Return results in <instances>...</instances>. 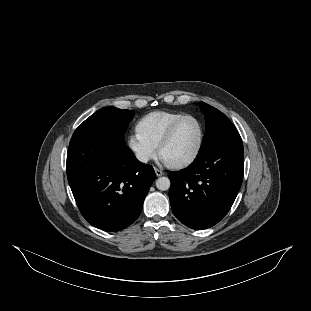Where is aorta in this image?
<instances>
[{"label": "aorta", "instance_id": "1", "mask_svg": "<svg viewBox=\"0 0 311 311\" xmlns=\"http://www.w3.org/2000/svg\"><path fill=\"white\" fill-rule=\"evenodd\" d=\"M155 184H156L157 189H159L161 191H166L171 186V182H170V179L168 177H159L156 180Z\"/></svg>", "mask_w": 311, "mask_h": 311}]
</instances>
